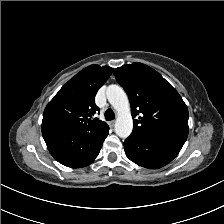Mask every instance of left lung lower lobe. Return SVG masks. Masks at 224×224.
I'll return each instance as SVG.
<instances>
[{
	"instance_id": "0a47b994",
	"label": "left lung lower lobe",
	"mask_w": 224,
	"mask_h": 224,
	"mask_svg": "<svg viewBox=\"0 0 224 224\" xmlns=\"http://www.w3.org/2000/svg\"><path fill=\"white\" fill-rule=\"evenodd\" d=\"M126 156L139 166L156 169L172 161L182 146L159 138L132 133L124 141Z\"/></svg>"
}]
</instances>
